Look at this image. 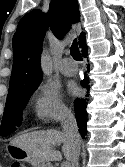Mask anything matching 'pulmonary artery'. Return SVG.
I'll return each mask as SVG.
<instances>
[{
	"label": "pulmonary artery",
	"instance_id": "pulmonary-artery-1",
	"mask_svg": "<svg viewBox=\"0 0 125 167\" xmlns=\"http://www.w3.org/2000/svg\"><path fill=\"white\" fill-rule=\"evenodd\" d=\"M60 71L65 76H74L78 71V66L70 58H64L60 63Z\"/></svg>",
	"mask_w": 125,
	"mask_h": 167
}]
</instances>
